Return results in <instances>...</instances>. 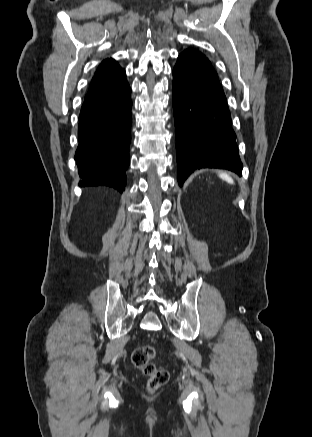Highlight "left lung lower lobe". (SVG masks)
I'll list each match as a JSON object with an SVG mask.
<instances>
[{
    "instance_id": "left-lung-lower-lobe-1",
    "label": "left lung lower lobe",
    "mask_w": 312,
    "mask_h": 437,
    "mask_svg": "<svg viewBox=\"0 0 312 437\" xmlns=\"http://www.w3.org/2000/svg\"><path fill=\"white\" fill-rule=\"evenodd\" d=\"M172 88L179 185L200 168L228 169L241 175L243 165L230 111L209 60L188 50L180 54Z\"/></svg>"
}]
</instances>
